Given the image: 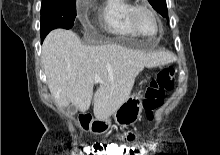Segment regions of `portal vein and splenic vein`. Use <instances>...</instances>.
I'll list each match as a JSON object with an SVG mask.
<instances>
[{"label": "portal vein and splenic vein", "mask_w": 220, "mask_h": 155, "mask_svg": "<svg viewBox=\"0 0 220 155\" xmlns=\"http://www.w3.org/2000/svg\"><path fill=\"white\" fill-rule=\"evenodd\" d=\"M94 80H95L96 82H102V80L100 79V77H99L98 75H95V76H94Z\"/></svg>", "instance_id": "1"}]
</instances>
